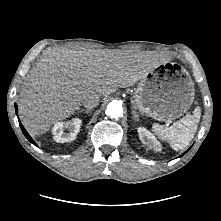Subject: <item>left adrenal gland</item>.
<instances>
[{
  "mask_svg": "<svg viewBox=\"0 0 221 221\" xmlns=\"http://www.w3.org/2000/svg\"><path fill=\"white\" fill-rule=\"evenodd\" d=\"M132 115H133V119H134L135 121H138V116H137V113H136V111L134 110V108H132Z\"/></svg>",
  "mask_w": 221,
  "mask_h": 221,
  "instance_id": "1",
  "label": "left adrenal gland"
}]
</instances>
